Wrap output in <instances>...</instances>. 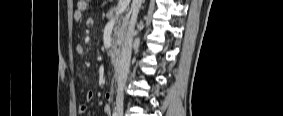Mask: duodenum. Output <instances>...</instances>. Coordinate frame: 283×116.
Segmentation results:
<instances>
[{
	"label": "duodenum",
	"mask_w": 283,
	"mask_h": 116,
	"mask_svg": "<svg viewBox=\"0 0 283 116\" xmlns=\"http://www.w3.org/2000/svg\"><path fill=\"white\" fill-rule=\"evenodd\" d=\"M111 61H112L113 65L115 66V68L119 67L120 61H121V53H120L119 50L113 51L112 56H111ZM116 81H117V73L114 76V85H115Z\"/></svg>",
	"instance_id": "obj_1"
}]
</instances>
